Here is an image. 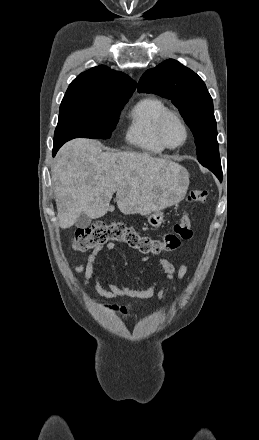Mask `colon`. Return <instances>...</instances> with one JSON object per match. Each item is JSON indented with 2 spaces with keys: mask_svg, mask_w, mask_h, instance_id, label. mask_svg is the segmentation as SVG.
<instances>
[{
  "mask_svg": "<svg viewBox=\"0 0 259 440\" xmlns=\"http://www.w3.org/2000/svg\"><path fill=\"white\" fill-rule=\"evenodd\" d=\"M207 196L208 192L205 189L196 188L188 195V201L204 203ZM191 237L190 218L184 212L180 221L160 239L142 235L133 227L121 222L106 223L100 221L90 227L78 229L75 232L72 246L75 251L85 252L100 247L107 242L116 241L123 242L143 254H159L176 250L182 241H187Z\"/></svg>",
  "mask_w": 259,
  "mask_h": 440,
  "instance_id": "colon-1",
  "label": "colon"
}]
</instances>
